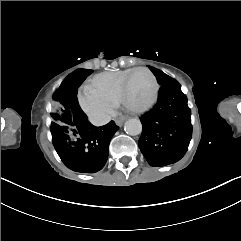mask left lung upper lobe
Returning a JSON list of instances; mask_svg holds the SVG:
<instances>
[{"label":"left lung upper lobe","instance_id":"1","mask_svg":"<svg viewBox=\"0 0 241 241\" xmlns=\"http://www.w3.org/2000/svg\"><path fill=\"white\" fill-rule=\"evenodd\" d=\"M150 70L157 77V81L160 85H165V84L175 81V79L171 78L170 76L166 75L165 73H163L162 71H160L156 68L150 67Z\"/></svg>","mask_w":241,"mask_h":241}]
</instances>
